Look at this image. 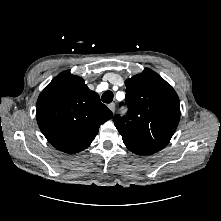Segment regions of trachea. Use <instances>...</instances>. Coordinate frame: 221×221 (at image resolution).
<instances>
[{
    "instance_id": "obj_1",
    "label": "trachea",
    "mask_w": 221,
    "mask_h": 221,
    "mask_svg": "<svg viewBox=\"0 0 221 221\" xmlns=\"http://www.w3.org/2000/svg\"><path fill=\"white\" fill-rule=\"evenodd\" d=\"M102 101L104 102V103H111L112 102V100H113V93H112V91H105L104 93H103V95H102Z\"/></svg>"
}]
</instances>
